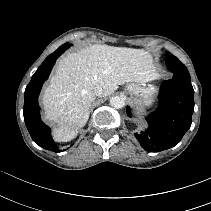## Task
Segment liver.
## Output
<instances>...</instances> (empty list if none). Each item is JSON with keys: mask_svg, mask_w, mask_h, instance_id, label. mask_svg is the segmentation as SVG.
<instances>
[{"mask_svg": "<svg viewBox=\"0 0 211 211\" xmlns=\"http://www.w3.org/2000/svg\"><path fill=\"white\" fill-rule=\"evenodd\" d=\"M158 77L152 56L142 49L94 44L68 54L42 96L45 118L58 124L55 140H72L86 124L95 87L100 86L106 97L119 85L146 84Z\"/></svg>", "mask_w": 211, "mask_h": 211, "instance_id": "6515ba94", "label": "liver"}]
</instances>
